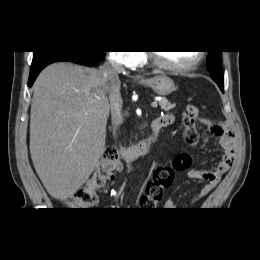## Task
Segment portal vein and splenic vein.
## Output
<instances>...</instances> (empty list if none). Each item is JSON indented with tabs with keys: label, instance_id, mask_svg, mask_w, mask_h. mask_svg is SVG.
<instances>
[{
	"label": "portal vein and splenic vein",
	"instance_id": "obj_1",
	"mask_svg": "<svg viewBox=\"0 0 260 260\" xmlns=\"http://www.w3.org/2000/svg\"><path fill=\"white\" fill-rule=\"evenodd\" d=\"M151 106H152L153 108H157V106H158L157 101L152 102V103H151Z\"/></svg>",
	"mask_w": 260,
	"mask_h": 260
}]
</instances>
